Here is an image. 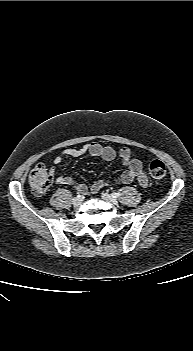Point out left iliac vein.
Instances as JSON below:
<instances>
[{
    "mask_svg": "<svg viewBox=\"0 0 193 351\" xmlns=\"http://www.w3.org/2000/svg\"><path fill=\"white\" fill-rule=\"evenodd\" d=\"M101 198L111 204H117V200L108 193H102Z\"/></svg>",
    "mask_w": 193,
    "mask_h": 351,
    "instance_id": "left-iliac-vein-1",
    "label": "left iliac vein"
}]
</instances>
